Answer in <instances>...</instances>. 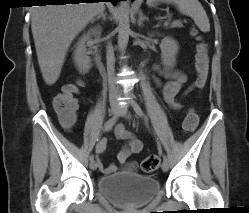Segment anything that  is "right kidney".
I'll return each instance as SVG.
<instances>
[{
    "mask_svg": "<svg viewBox=\"0 0 249 213\" xmlns=\"http://www.w3.org/2000/svg\"><path fill=\"white\" fill-rule=\"evenodd\" d=\"M100 28H93L84 34L83 37L77 42L74 50V63L81 73H87L91 68V59L86 53V41L91 35H99Z\"/></svg>",
    "mask_w": 249,
    "mask_h": 213,
    "instance_id": "obj_1",
    "label": "right kidney"
}]
</instances>
